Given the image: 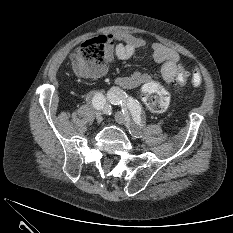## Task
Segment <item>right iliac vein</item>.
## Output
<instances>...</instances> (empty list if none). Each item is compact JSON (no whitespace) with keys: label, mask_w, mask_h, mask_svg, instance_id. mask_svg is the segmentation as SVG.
Masks as SVG:
<instances>
[{"label":"right iliac vein","mask_w":233,"mask_h":233,"mask_svg":"<svg viewBox=\"0 0 233 233\" xmlns=\"http://www.w3.org/2000/svg\"><path fill=\"white\" fill-rule=\"evenodd\" d=\"M96 120L98 123H101L103 120L102 114L100 112L96 113Z\"/></svg>","instance_id":"1"}]
</instances>
